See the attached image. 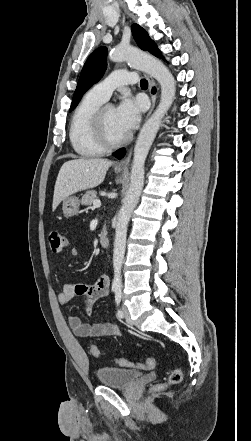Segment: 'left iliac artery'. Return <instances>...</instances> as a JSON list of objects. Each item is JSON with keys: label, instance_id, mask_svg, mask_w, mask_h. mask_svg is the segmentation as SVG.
Here are the masks:
<instances>
[{"label": "left iliac artery", "instance_id": "1", "mask_svg": "<svg viewBox=\"0 0 251 441\" xmlns=\"http://www.w3.org/2000/svg\"><path fill=\"white\" fill-rule=\"evenodd\" d=\"M121 298H122L121 290H116L115 291V302H116L117 307L120 305ZM117 316L119 318H123L124 314L121 309L117 310Z\"/></svg>", "mask_w": 251, "mask_h": 441}]
</instances>
